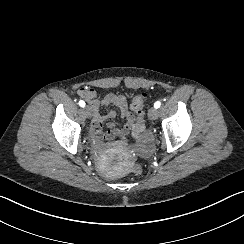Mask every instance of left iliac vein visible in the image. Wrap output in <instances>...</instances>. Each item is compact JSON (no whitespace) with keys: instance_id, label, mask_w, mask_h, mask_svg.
I'll use <instances>...</instances> for the list:
<instances>
[{"instance_id":"1","label":"left iliac vein","mask_w":244,"mask_h":244,"mask_svg":"<svg viewBox=\"0 0 244 244\" xmlns=\"http://www.w3.org/2000/svg\"><path fill=\"white\" fill-rule=\"evenodd\" d=\"M158 110L156 108H151L149 109L148 111V117L151 119V120H155L157 119L158 117Z\"/></svg>"}]
</instances>
